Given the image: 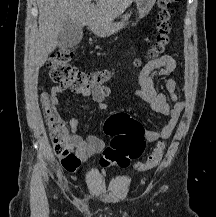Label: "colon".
<instances>
[{"mask_svg": "<svg viewBox=\"0 0 216 217\" xmlns=\"http://www.w3.org/2000/svg\"><path fill=\"white\" fill-rule=\"evenodd\" d=\"M180 0H157L159 12L157 16L155 42L148 52L151 59H158L171 43L172 6ZM75 47L58 50L50 60V77L63 87L75 89H96L102 87L108 79L106 71L85 72L70 62L75 56ZM45 121L50 131V138L55 154L61 159L62 166L68 171H75L80 161L71 149L66 124L52 106L49 94L43 93ZM104 131L112 136V140L102 152L100 164L103 167H126L137 159L145 147L143 126L126 113L110 116L104 123ZM164 155V144L158 143L144 162L136 168L140 172L153 169L159 165Z\"/></svg>", "mask_w": 216, "mask_h": 217, "instance_id": "5ec220e1", "label": "colon"}]
</instances>
